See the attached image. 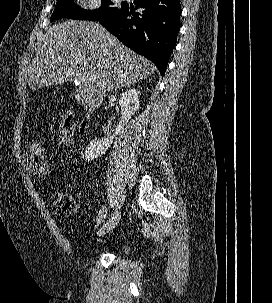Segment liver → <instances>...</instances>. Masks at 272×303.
Here are the masks:
<instances>
[{"mask_svg":"<svg viewBox=\"0 0 272 303\" xmlns=\"http://www.w3.org/2000/svg\"><path fill=\"white\" fill-rule=\"evenodd\" d=\"M156 70L91 21H66L47 28L27 74L33 90L65 81H77L75 99L86 109L98 107L112 90L147 79ZM81 76L94 78L81 82Z\"/></svg>","mask_w":272,"mask_h":303,"instance_id":"1","label":"liver"}]
</instances>
